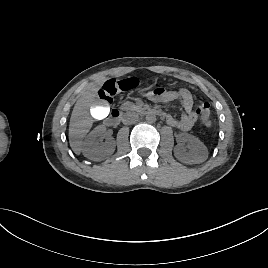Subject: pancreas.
<instances>
[{"instance_id": "pancreas-1", "label": "pancreas", "mask_w": 268, "mask_h": 268, "mask_svg": "<svg viewBox=\"0 0 268 268\" xmlns=\"http://www.w3.org/2000/svg\"><path fill=\"white\" fill-rule=\"evenodd\" d=\"M136 106H142V103H137L136 105L132 102L126 101L121 105L122 110H133Z\"/></svg>"}]
</instances>
